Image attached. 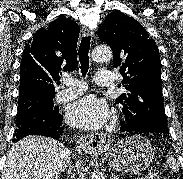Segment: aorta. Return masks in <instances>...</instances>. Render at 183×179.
<instances>
[{"instance_id": "762f6f07", "label": "aorta", "mask_w": 183, "mask_h": 179, "mask_svg": "<svg viewBox=\"0 0 183 179\" xmlns=\"http://www.w3.org/2000/svg\"><path fill=\"white\" fill-rule=\"evenodd\" d=\"M93 60L96 62H104L112 59V50L108 46H98L93 50ZM90 179H104L100 170H94Z\"/></svg>"}]
</instances>
